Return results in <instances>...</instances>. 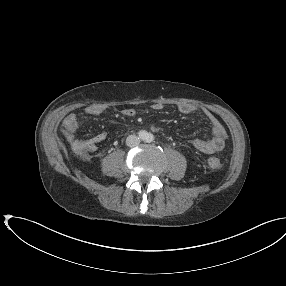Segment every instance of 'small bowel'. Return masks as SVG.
Wrapping results in <instances>:
<instances>
[{
    "instance_id": "c3829d8e",
    "label": "small bowel",
    "mask_w": 286,
    "mask_h": 286,
    "mask_svg": "<svg viewBox=\"0 0 286 286\" xmlns=\"http://www.w3.org/2000/svg\"><path fill=\"white\" fill-rule=\"evenodd\" d=\"M162 103H154L152 109L155 111L163 110ZM177 109L182 114H190L199 112L204 115L212 126L213 136L211 139H195L193 146L201 152L213 153L224 148L227 140V132L222 123L206 108L199 107L190 103H180ZM104 111V108L99 105H90L85 108L84 113L87 116H98ZM124 116L133 117L136 114L134 108H126L122 111ZM64 137L71 143L72 148L79 156H86L88 153L97 151L100 143L106 140L107 133L100 132L90 138L77 139L76 135L80 128V122L76 114L70 113L66 115L62 121Z\"/></svg>"
}]
</instances>
